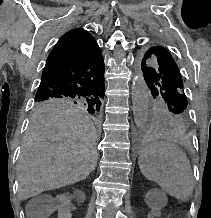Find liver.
<instances>
[{
  "mask_svg": "<svg viewBox=\"0 0 211 218\" xmlns=\"http://www.w3.org/2000/svg\"><path fill=\"white\" fill-rule=\"evenodd\" d=\"M96 142L95 126L81 110H35L16 168L19 200L85 180L97 166Z\"/></svg>",
  "mask_w": 211,
  "mask_h": 218,
  "instance_id": "obj_1",
  "label": "liver"
}]
</instances>
